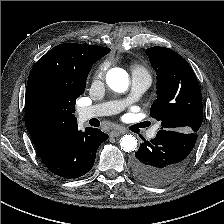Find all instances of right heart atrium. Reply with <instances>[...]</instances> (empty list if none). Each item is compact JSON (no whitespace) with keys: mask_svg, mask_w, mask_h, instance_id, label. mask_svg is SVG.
Wrapping results in <instances>:
<instances>
[{"mask_svg":"<svg viewBox=\"0 0 224 224\" xmlns=\"http://www.w3.org/2000/svg\"><path fill=\"white\" fill-rule=\"evenodd\" d=\"M106 72V67L101 65L93 75V83H99L103 80Z\"/></svg>","mask_w":224,"mask_h":224,"instance_id":"obj_1","label":"right heart atrium"}]
</instances>
